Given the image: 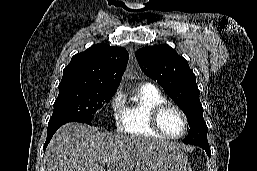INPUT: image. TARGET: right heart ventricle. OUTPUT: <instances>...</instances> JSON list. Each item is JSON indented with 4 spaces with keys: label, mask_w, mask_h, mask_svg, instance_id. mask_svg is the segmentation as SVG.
<instances>
[{
    "label": "right heart ventricle",
    "mask_w": 257,
    "mask_h": 171,
    "mask_svg": "<svg viewBox=\"0 0 257 171\" xmlns=\"http://www.w3.org/2000/svg\"><path fill=\"white\" fill-rule=\"evenodd\" d=\"M166 101L165 96L155 86H140L130 103L124 106L119 130L130 135L165 139L152 129L150 117L153 108Z\"/></svg>",
    "instance_id": "obj_1"
}]
</instances>
